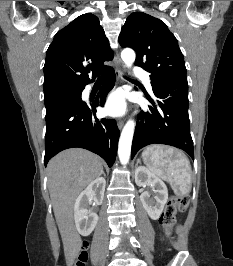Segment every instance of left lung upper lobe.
Masks as SVG:
<instances>
[{
	"instance_id": "1",
	"label": "left lung upper lobe",
	"mask_w": 233,
	"mask_h": 266,
	"mask_svg": "<svg viewBox=\"0 0 233 266\" xmlns=\"http://www.w3.org/2000/svg\"><path fill=\"white\" fill-rule=\"evenodd\" d=\"M119 43L135 50V65L150 73L152 83L173 78L187 80L178 41L161 20L146 13H132L122 27Z\"/></svg>"
}]
</instances>
